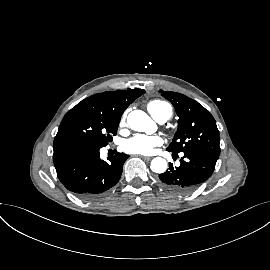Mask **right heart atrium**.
I'll return each instance as SVG.
<instances>
[{"instance_id":"1","label":"right heart atrium","mask_w":270,"mask_h":270,"mask_svg":"<svg viewBox=\"0 0 270 270\" xmlns=\"http://www.w3.org/2000/svg\"><path fill=\"white\" fill-rule=\"evenodd\" d=\"M126 115H127V113H124V114L122 115L121 120H120V125H124V124H125Z\"/></svg>"}]
</instances>
